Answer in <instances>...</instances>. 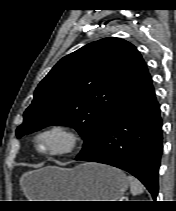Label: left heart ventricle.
<instances>
[{
	"label": "left heart ventricle",
	"mask_w": 176,
	"mask_h": 211,
	"mask_svg": "<svg viewBox=\"0 0 176 211\" xmlns=\"http://www.w3.org/2000/svg\"><path fill=\"white\" fill-rule=\"evenodd\" d=\"M62 143V139L57 136H48L41 140L42 148H53Z\"/></svg>",
	"instance_id": "obj_1"
}]
</instances>
